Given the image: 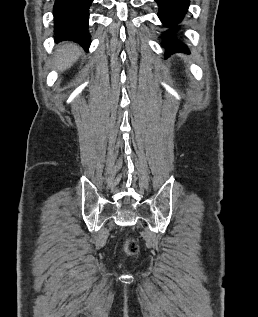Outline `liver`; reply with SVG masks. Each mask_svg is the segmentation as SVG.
<instances>
[{
	"label": "liver",
	"mask_w": 258,
	"mask_h": 317,
	"mask_svg": "<svg viewBox=\"0 0 258 317\" xmlns=\"http://www.w3.org/2000/svg\"><path fill=\"white\" fill-rule=\"evenodd\" d=\"M80 52V46H77V44H74V42H64V44L58 48L55 54L56 68H59V70H66V68H70L73 62L77 60Z\"/></svg>",
	"instance_id": "1"
}]
</instances>
